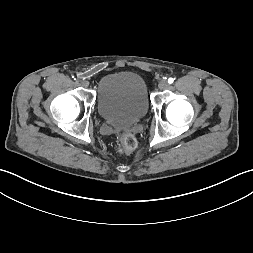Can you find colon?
Segmentation results:
<instances>
[{
    "label": "colon",
    "instance_id": "colon-1",
    "mask_svg": "<svg viewBox=\"0 0 253 253\" xmlns=\"http://www.w3.org/2000/svg\"><path fill=\"white\" fill-rule=\"evenodd\" d=\"M137 146V140L134 135L129 133H124L120 135L118 142V152L119 153H130Z\"/></svg>",
    "mask_w": 253,
    "mask_h": 253
}]
</instances>
